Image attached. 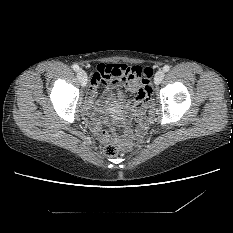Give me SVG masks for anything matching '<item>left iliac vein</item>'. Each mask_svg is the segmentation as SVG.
<instances>
[{
	"label": "left iliac vein",
	"mask_w": 233,
	"mask_h": 233,
	"mask_svg": "<svg viewBox=\"0 0 233 233\" xmlns=\"http://www.w3.org/2000/svg\"><path fill=\"white\" fill-rule=\"evenodd\" d=\"M163 78H164V71L158 70L155 74V77H154V83L156 85H159L162 82Z\"/></svg>",
	"instance_id": "left-iliac-vein-1"
}]
</instances>
